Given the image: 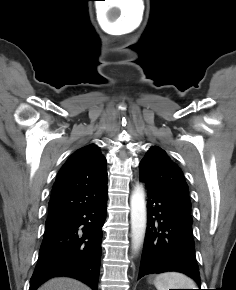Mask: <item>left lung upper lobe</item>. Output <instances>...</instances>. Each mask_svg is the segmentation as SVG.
Returning <instances> with one entry per match:
<instances>
[{
  "mask_svg": "<svg viewBox=\"0 0 236 290\" xmlns=\"http://www.w3.org/2000/svg\"><path fill=\"white\" fill-rule=\"evenodd\" d=\"M140 179L147 185L168 191L189 208L188 186L180 168L159 147H151L139 164Z\"/></svg>",
  "mask_w": 236,
  "mask_h": 290,
  "instance_id": "5c2ea615",
  "label": "left lung upper lobe"
}]
</instances>
